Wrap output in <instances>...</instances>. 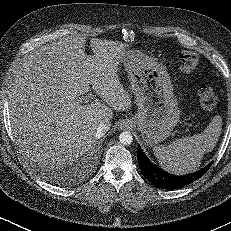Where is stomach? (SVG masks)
Returning a JSON list of instances; mask_svg holds the SVG:
<instances>
[{"mask_svg":"<svg viewBox=\"0 0 231 231\" xmlns=\"http://www.w3.org/2000/svg\"><path fill=\"white\" fill-rule=\"evenodd\" d=\"M137 113L128 122L142 134L147 146L170 136L179 122L180 111L166 69L139 50L122 53Z\"/></svg>","mask_w":231,"mask_h":231,"instance_id":"1","label":"stomach"}]
</instances>
